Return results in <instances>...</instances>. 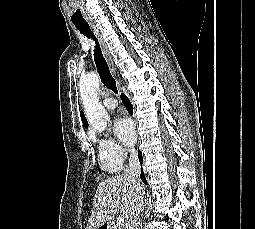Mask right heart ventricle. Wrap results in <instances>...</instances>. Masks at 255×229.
<instances>
[{
    "label": "right heart ventricle",
    "mask_w": 255,
    "mask_h": 229,
    "mask_svg": "<svg viewBox=\"0 0 255 229\" xmlns=\"http://www.w3.org/2000/svg\"><path fill=\"white\" fill-rule=\"evenodd\" d=\"M121 169V167H115V168H112V169H107L108 171H112V172H117Z\"/></svg>",
    "instance_id": "e07e8e85"
}]
</instances>
